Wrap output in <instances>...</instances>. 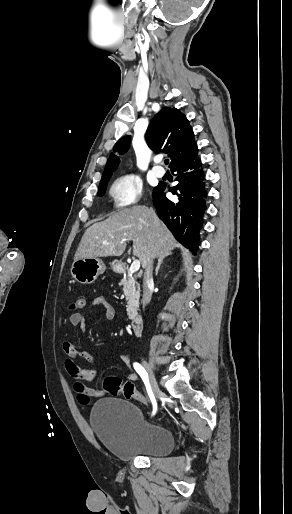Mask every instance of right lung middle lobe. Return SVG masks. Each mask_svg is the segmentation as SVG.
<instances>
[{"mask_svg":"<svg viewBox=\"0 0 292 514\" xmlns=\"http://www.w3.org/2000/svg\"><path fill=\"white\" fill-rule=\"evenodd\" d=\"M108 181H109V179L100 182V186H99V190H98V194H97L98 196L101 197L105 194Z\"/></svg>","mask_w":292,"mask_h":514,"instance_id":"obj_1","label":"right lung middle lobe"}]
</instances>
